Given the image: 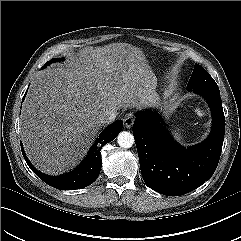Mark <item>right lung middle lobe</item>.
Masks as SVG:
<instances>
[{
  "label": "right lung middle lobe",
  "mask_w": 241,
  "mask_h": 241,
  "mask_svg": "<svg viewBox=\"0 0 241 241\" xmlns=\"http://www.w3.org/2000/svg\"><path fill=\"white\" fill-rule=\"evenodd\" d=\"M62 60H63L62 58H53V59H51L50 61H48V62L45 64V66L48 65V64H50V63H52V62H59V61H62Z\"/></svg>",
  "instance_id": "1"
}]
</instances>
